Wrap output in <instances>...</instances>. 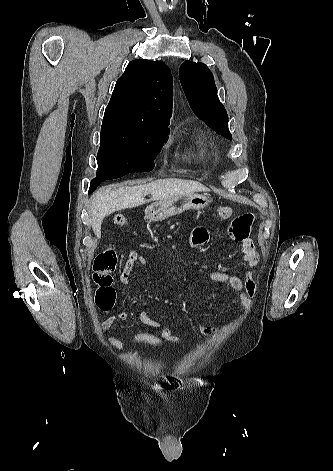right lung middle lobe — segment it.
<instances>
[{
	"label": "right lung middle lobe",
	"mask_w": 333,
	"mask_h": 471,
	"mask_svg": "<svg viewBox=\"0 0 333 471\" xmlns=\"http://www.w3.org/2000/svg\"><path fill=\"white\" fill-rule=\"evenodd\" d=\"M169 131L165 125L103 120L95 179L110 180L151 171Z\"/></svg>",
	"instance_id": "dd1d6c3e"
}]
</instances>
